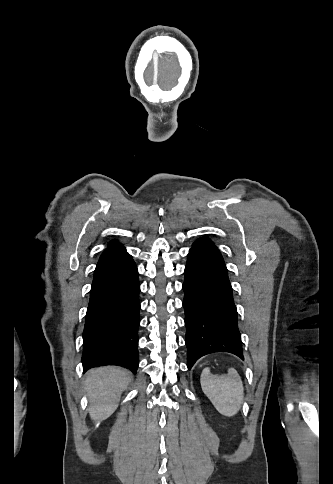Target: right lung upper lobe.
I'll return each instance as SVG.
<instances>
[{
  "instance_id": "right-lung-upper-lobe-1",
  "label": "right lung upper lobe",
  "mask_w": 333,
  "mask_h": 484,
  "mask_svg": "<svg viewBox=\"0 0 333 484\" xmlns=\"http://www.w3.org/2000/svg\"><path fill=\"white\" fill-rule=\"evenodd\" d=\"M119 245L117 241H112L109 243L108 247Z\"/></svg>"
}]
</instances>
